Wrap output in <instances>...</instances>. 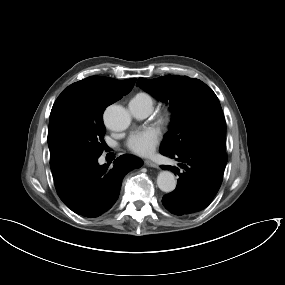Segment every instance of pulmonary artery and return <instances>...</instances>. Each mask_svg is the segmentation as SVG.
Segmentation results:
<instances>
[{
  "label": "pulmonary artery",
  "mask_w": 285,
  "mask_h": 285,
  "mask_svg": "<svg viewBox=\"0 0 285 285\" xmlns=\"http://www.w3.org/2000/svg\"><path fill=\"white\" fill-rule=\"evenodd\" d=\"M128 108L134 117L144 118L152 112V100L148 95L138 94L129 101Z\"/></svg>",
  "instance_id": "obj_1"
}]
</instances>
